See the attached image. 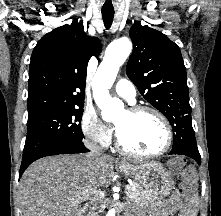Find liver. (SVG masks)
Returning <instances> with one entry per match:
<instances>
[{
	"label": "liver",
	"mask_w": 221,
	"mask_h": 216,
	"mask_svg": "<svg viewBox=\"0 0 221 216\" xmlns=\"http://www.w3.org/2000/svg\"><path fill=\"white\" fill-rule=\"evenodd\" d=\"M113 178V158L109 155L94 160L87 154L39 159L20 180L23 216H81V203L94 191L108 187Z\"/></svg>",
	"instance_id": "obj_1"
}]
</instances>
